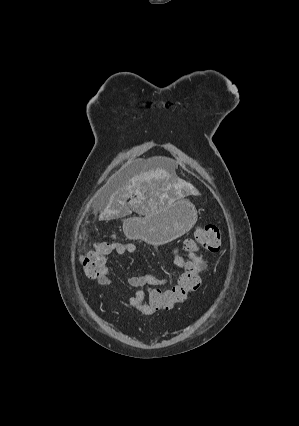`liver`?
Segmentation results:
<instances>
[{
    "instance_id": "liver-1",
    "label": "liver",
    "mask_w": 299,
    "mask_h": 426,
    "mask_svg": "<svg viewBox=\"0 0 299 426\" xmlns=\"http://www.w3.org/2000/svg\"><path fill=\"white\" fill-rule=\"evenodd\" d=\"M170 179L171 175L162 168L131 177L125 184L119 186L110 194L99 220L114 219L130 214L132 210L138 208L147 211L156 209L162 203V199L167 197V191L171 187ZM133 194L137 198L127 203V200L132 198ZM159 196L161 198L160 203L157 201Z\"/></svg>"
}]
</instances>
